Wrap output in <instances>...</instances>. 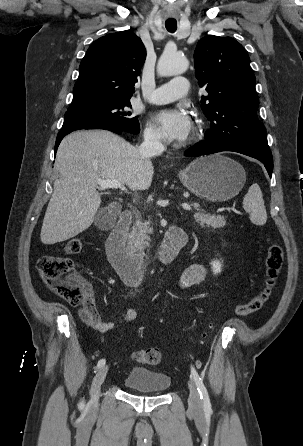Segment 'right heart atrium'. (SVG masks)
<instances>
[{
    "label": "right heart atrium",
    "instance_id": "1",
    "mask_svg": "<svg viewBox=\"0 0 303 446\" xmlns=\"http://www.w3.org/2000/svg\"><path fill=\"white\" fill-rule=\"evenodd\" d=\"M144 138L150 144H160L163 142V136L160 131L151 123H148L144 130Z\"/></svg>",
    "mask_w": 303,
    "mask_h": 446
}]
</instances>
